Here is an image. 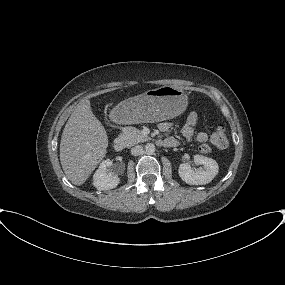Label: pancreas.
I'll use <instances>...</instances> for the list:
<instances>
[{
    "mask_svg": "<svg viewBox=\"0 0 285 285\" xmlns=\"http://www.w3.org/2000/svg\"><path fill=\"white\" fill-rule=\"evenodd\" d=\"M119 137L126 147L133 146L149 139L148 136L144 135L140 130L132 126L125 127Z\"/></svg>",
    "mask_w": 285,
    "mask_h": 285,
    "instance_id": "1",
    "label": "pancreas"
}]
</instances>
